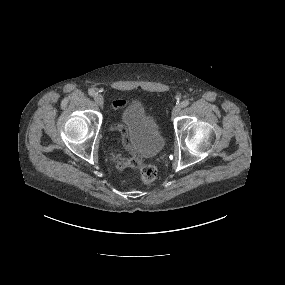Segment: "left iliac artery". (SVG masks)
I'll list each match as a JSON object with an SVG mask.
<instances>
[{
    "label": "left iliac artery",
    "mask_w": 285,
    "mask_h": 285,
    "mask_svg": "<svg viewBox=\"0 0 285 285\" xmlns=\"http://www.w3.org/2000/svg\"><path fill=\"white\" fill-rule=\"evenodd\" d=\"M189 105V101L188 100H184V101H182V103H181V106L182 107H187Z\"/></svg>",
    "instance_id": "obj_1"
}]
</instances>
